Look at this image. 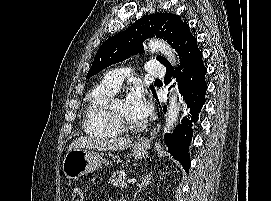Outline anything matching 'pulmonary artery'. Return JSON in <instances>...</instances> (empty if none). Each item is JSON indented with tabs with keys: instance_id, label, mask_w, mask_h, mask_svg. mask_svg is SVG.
Segmentation results:
<instances>
[{
	"instance_id": "e3ab8cb5",
	"label": "pulmonary artery",
	"mask_w": 271,
	"mask_h": 201,
	"mask_svg": "<svg viewBox=\"0 0 271 201\" xmlns=\"http://www.w3.org/2000/svg\"><path fill=\"white\" fill-rule=\"evenodd\" d=\"M147 72L152 76H164L166 70L160 61L149 59L145 64ZM130 69L117 68L107 72L101 80V85L113 90L119 89L124 78L130 75Z\"/></svg>"
}]
</instances>
